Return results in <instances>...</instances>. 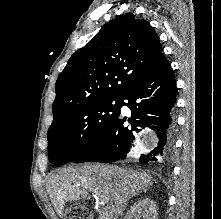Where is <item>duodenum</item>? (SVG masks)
Instances as JSON below:
<instances>
[{
  "label": "duodenum",
  "instance_id": "duodenum-1",
  "mask_svg": "<svg viewBox=\"0 0 221 219\" xmlns=\"http://www.w3.org/2000/svg\"><path fill=\"white\" fill-rule=\"evenodd\" d=\"M98 219H113L106 212L99 210L98 211Z\"/></svg>",
  "mask_w": 221,
  "mask_h": 219
}]
</instances>
